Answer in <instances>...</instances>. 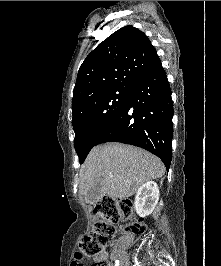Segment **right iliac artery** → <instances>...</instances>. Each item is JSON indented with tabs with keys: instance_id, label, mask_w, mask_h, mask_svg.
I'll use <instances>...</instances> for the list:
<instances>
[{
	"instance_id": "1",
	"label": "right iliac artery",
	"mask_w": 221,
	"mask_h": 266,
	"mask_svg": "<svg viewBox=\"0 0 221 266\" xmlns=\"http://www.w3.org/2000/svg\"><path fill=\"white\" fill-rule=\"evenodd\" d=\"M115 266H119V260L115 261Z\"/></svg>"
}]
</instances>
